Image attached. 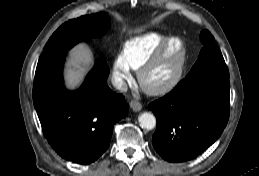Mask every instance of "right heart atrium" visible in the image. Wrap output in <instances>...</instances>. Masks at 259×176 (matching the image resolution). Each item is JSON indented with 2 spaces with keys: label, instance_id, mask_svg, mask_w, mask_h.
Segmentation results:
<instances>
[{
  "label": "right heart atrium",
  "instance_id": "obj_1",
  "mask_svg": "<svg viewBox=\"0 0 259 176\" xmlns=\"http://www.w3.org/2000/svg\"><path fill=\"white\" fill-rule=\"evenodd\" d=\"M112 78L115 85L122 89L131 80L129 68L124 63L121 54L115 56L112 62Z\"/></svg>",
  "mask_w": 259,
  "mask_h": 176
}]
</instances>
